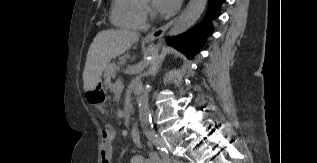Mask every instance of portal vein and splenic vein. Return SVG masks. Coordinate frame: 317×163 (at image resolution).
<instances>
[{
	"instance_id": "obj_1",
	"label": "portal vein and splenic vein",
	"mask_w": 317,
	"mask_h": 163,
	"mask_svg": "<svg viewBox=\"0 0 317 163\" xmlns=\"http://www.w3.org/2000/svg\"><path fill=\"white\" fill-rule=\"evenodd\" d=\"M124 88L123 82L121 80H117L114 84V89L117 91H122Z\"/></svg>"
}]
</instances>
